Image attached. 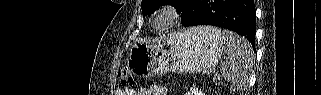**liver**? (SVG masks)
<instances>
[{
  "mask_svg": "<svg viewBox=\"0 0 321 95\" xmlns=\"http://www.w3.org/2000/svg\"><path fill=\"white\" fill-rule=\"evenodd\" d=\"M195 30H197L198 32H200V33H202V34H204L205 35V33H204V31H203V29H199V27L198 28H194Z\"/></svg>",
  "mask_w": 321,
  "mask_h": 95,
  "instance_id": "obj_1",
  "label": "liver"
}]
</instances>
